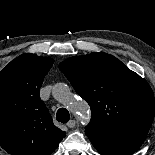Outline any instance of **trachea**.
<instances>
[{
  "label": "trachea",
  "instance_id": "3493384b",
  "mask_svg": "<svg viewBox=\"0 0 155 155\" xmlns=\"http://www.w3.org/2000/svg\"><path fill=\"white\" fill-rule=\"evenodd\" d=\"M56 119H57V121H59L61 123H67L70 119V114H69L68 110L65 108L58 109V111L56 113Z\"/></svg>",
  "mask_w": 155,
  "mask_h": 155
}]
</instances>
